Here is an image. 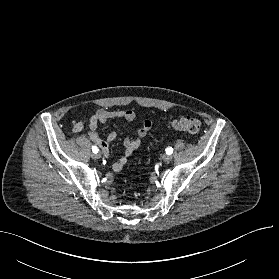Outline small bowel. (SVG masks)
Masks as SVG:
<instances>
[{
	"mask_svg": "<svg viewBox=\"0 0 279 279\" xmlns=\"http://www.w3.org/2000/svg\"><path fill=\"white\" fill-rule=\"evenodd\" d=\"M136 118V114L133 110H96L86 121L88 123V136L104 153V155H110V144L116 139L117 134L115 131L108 133L105 139L101 138L97 133L98 123L107 122L114 119H124L126 121H133ZM152 128V120L149 118L143 119L141 125L137 129V136L135 138L126 139L124 141V153L121 158L112 165L114 172H119L123 169L127 163L128 158L142 145L143 139L147 136ZM84 129V122H76L73 125L74 132H81Z\"/></svg>",
	"mask_w": 279,
	"mask_h": 279,
	"instance_id": "obj_1",
	"label": "small bowel"
}]
</instances>
